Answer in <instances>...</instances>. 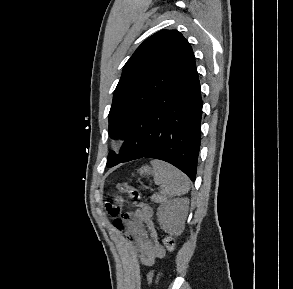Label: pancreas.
Instances as JSON below:
<instances>
[{
    "label": "pancreas",
    "instance_id": "obj_1",
    "mask_svg": "<svg viewBox=\"0 0 293 289\" xmlns=\"http://www.w3.org/2000/svg\"><path fill=\"white\" fill-rule=\"evenodd\" d=\"M151 200L159 203L163 201V198L159 194L155 193L153 196H151Z\"/></svg>",
    "mask_w": 293,
    "mask_h": 289
}]
</instances>
